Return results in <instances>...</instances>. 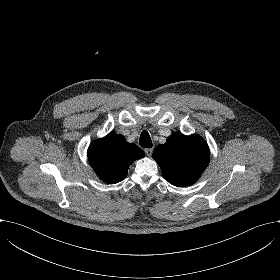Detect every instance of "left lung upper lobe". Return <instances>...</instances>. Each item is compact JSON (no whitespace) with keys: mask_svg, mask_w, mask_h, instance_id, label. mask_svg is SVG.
Here are the masks:
<instances>
[{"mask_svg":"<svg viewBox=\"0 0 280 280\" xmlns=\"http://www.w3.org/2000/svg\"><path fill=\"white\" fill-rule=\"evenodd\" d=\"M153 158L159 164L165 180L184 187L201 176L209 163L210 151L201 137L174 132L165 144L155 148Z\"/></svg>","mask_w":280,"mask_h":280,"instance_id":"5c2ea615","label":"left lung upper lobe"}]
</instances>
